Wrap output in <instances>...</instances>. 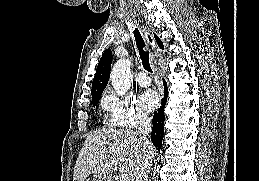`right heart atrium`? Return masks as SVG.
<instances>
[{
  "label": "right heart atrium",
  "mask_w": 259,
  "mask_h": 181,
  "mask_svg": "<svg viewBox=\"0 0 259 181\" xmlns=\"http://www.w3.org/2000/svg\"><path fill=\"white\" fill-rule=\"evenodd\" d=\"M101 108L105 123L110 127L133 129L147 123L148 116L126 95H119L113 90L103 94Z\"/></svg>",
  "instance_id": "d8ad5b80"
}]
</instances>
